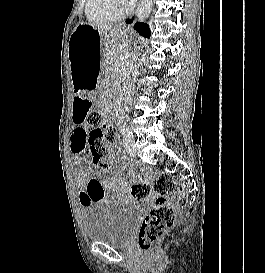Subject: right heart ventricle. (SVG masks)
I'll list each match as a JSON object with an SVG mask.
<instances>
[{
  "mask_svg": "<svg viewBox=\"0 0 265 273\" xmlns=\"http://www.w3.org/2000/svg\"><path fill=\"white\" fill-rule=\"evenodd\" d=\"M85 13L89 21L101 24L114 22L122 15L117 0H86Z\"/></svg>",
  "mask_w": 265,
  "mask_h": 273,
  "instance_id": "right-heart-ventricle-1",
  "label": "right heart ventricle"
}]
</instances>
